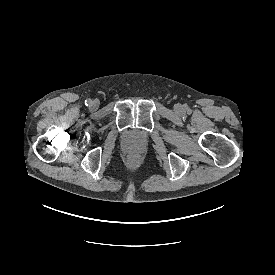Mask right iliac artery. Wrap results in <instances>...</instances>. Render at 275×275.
I'll list each match as a JSON object with an SVG mask.
<instances>
[{"mask_svg": "<svg viewBox=\"0 0 275 275\" xmlns=\"http://www.w3.org/2000/svg\"><path fill=\"white\" fill-rule=\"evenodd\" d=\"M90 104H91V100H90V99L85 100V105H86V106H88V105H90Z\"/></svg>", "mask_w": 275, "mask_h": 275, "instance_id": "1", "label": "right iliac artery"}]
</instances>
